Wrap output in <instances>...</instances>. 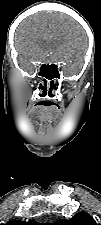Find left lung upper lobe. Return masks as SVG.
Instances as JSON below:
<instances>
[{
  "label": "left lung upper lobe",
  "mask_w": 101,
  "mask_h": 225,
  "mask_svg": "<svg viewBox=\"0 0 101 225\" xmlns=\"http://www.w3.org/2000/svg\"><path fill=\"white\" fill-rule=\"evenodd\" d=\"M53 225H97V223L89 214L80 212L69 220L60 219Z\"/></svg>",
  "instance_id": "obj_1"
}]
</instances>
